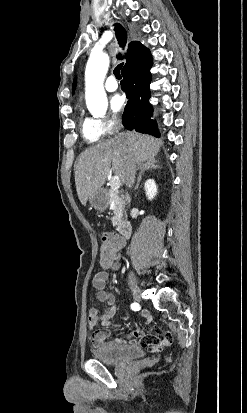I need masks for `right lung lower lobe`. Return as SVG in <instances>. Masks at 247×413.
Segmentation results:
<instances>
[{
    "mask_svg": "<svg viewBox=\"0 0 247 413\" xmlns=\"http://www.w3.org/2000/svg\"><path fill=\"white\" fill-rule=\"evenodd\" d=\"M150 68L139 74L123 77L121 87L126 91L128 103L124 109L122 123L128 130H136L159 137L156 122L150 119L153 111L149 103Z\"/></svg>",
    "mask_w": 247,
    "mask_h": 413,
    "instance_id": "right-lung-lower-lobe-1",
    "label": "right lung lower lobe"
}]
</instances>
